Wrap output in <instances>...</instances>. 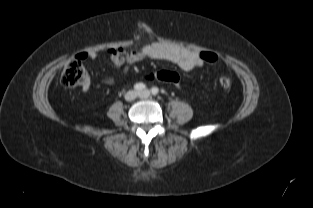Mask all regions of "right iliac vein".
I'll return each instance as SVG.
<instances>
[{
    "label": "right iliac vein",
    "instance_id": "right-iliac-vein-1",
    "mask_svg": "<svg viewBox=\"0 0 313 208\" xmlns=\"http://www.w3.org/2000/svg\"><path fill=\"white\" fill-rule=\"evenodd\" d=\"M137 95L138 93L136 91H128L125 94V100L131 102L136 99Z\"/></svg>",
    "mask_w": 313,
    "mask_h": 208
}]
</instances>
